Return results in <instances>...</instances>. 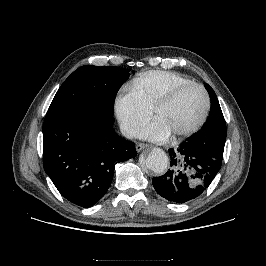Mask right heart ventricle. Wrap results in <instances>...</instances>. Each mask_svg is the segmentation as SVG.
<instances>
[{
  "label": "right heart ventricle",
  "mask_w": 266,
  "mask_h": 266,
  "mask_svg": "<svg viewBox=\"0 0 266 266\" xmlns=\"http://www.w3.org/2000/svg\"><path fill=\"white\" fill-rule=\"evenodd\" d=\"M193 82L191 79L171 71L151 70L141 73L129 84L144 104L153 109L155 104L172 88Z\"/></svg>",
  "instance_id": "obj_1"
}]
</instances>
